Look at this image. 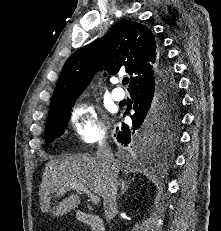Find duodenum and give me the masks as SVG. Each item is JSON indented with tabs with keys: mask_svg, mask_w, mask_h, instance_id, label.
<instances>
[{
	"mask_svg": "<svg viewBox=\"0 0 221 231\" xmlns=\"http://www.w3.org/2000/svg\"><path fill=\"white\" fill-rule=\"evenodd\" d=\"M76 216L79 222L89 225L93 231H105L103 220L99 215L77 210Z\"/></svg>",
	"mask_w": 221,
	"mask_h": 231,
	"instance_id": "duodenum-1",
	"label": "duodenum"
}]
</instances>
